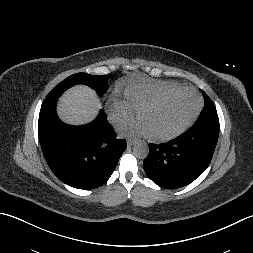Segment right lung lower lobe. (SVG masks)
<instances>
[{"label":"right lung lower lobe","instance_id":"98d812e1","mask_svg":"<svg viewBox=\"0 0 253 253\" xmlns=\"http://www.w3.org/2000/svg\"><path fill=\"white\" fill-rule=\"evenodd\" d=\"M59 96L46 97L39 114V140L46 162L65 184L97 188L109 179L127 144L116 139L103 110L87 125L63 123L56 113Z\"/></svg>","mask_w":253,"mask_h":253}]
</instances>
